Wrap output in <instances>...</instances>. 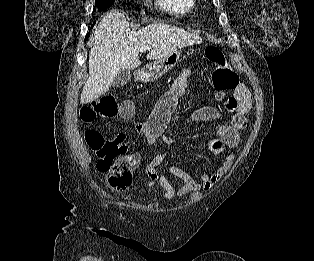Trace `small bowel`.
Instances as JSON below:
<instances>
[{"label": "small bowel", "instance_id": "obj_1", "mask_svg": "<svg viewBox=\"0 0 314 261\" xmlns=\"http://www.w3.org/2000/svg\"><path fill=\"white\" fill-rule=\"evenodd\" d=\"M191 77V69L185 68L176 77L170 88L161 96L152 110L150 117L136 125V132L149 143H153L160 137L162 141L171 147L172 138L166 134L165 128L171 115L174 113L179 99L188 87V80ZM251 108V98L248 90L239 85L235 90L234 96L224 103L223 109L218 110L211 107H204L195 111L191 118L196 122H207L226 117L228 122L218 125L216 136L210 138L206 143V148L215 155H223L227 150L234 149L240 142V131L247 125L246 115ZM125 141L123 136H118ZM170 149L161 152L156 158L150 161L145 168L148 181L139 183L143 189H162L163 196L171 199L175 196H185L191 192L210 191L220 179L227 174L234 161V155H225L222 164L210 174H202L195 179L180 167L171 166L168 173L181 179L182 184L174 187L165 174H160L158 169L164 162ZM135 165L140 162L138 154H133Z\"/></svg>", "mask_w": 314, "mask_h": 261}]
</instances>
